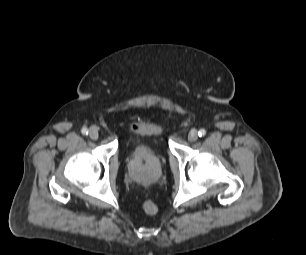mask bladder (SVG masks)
<instances>
[{
    "instance_id": "obj_1",
    "label": "bladder",
    "mask_w": 306,
    "mask_h": 255,
    "mask_svg": "<svg viewBox=\"0 0 306 255\" xmlns=\"http://www.w3.org/2000/svg\"><path fill=\"white\" fill-rule=\"evenodd\" d=\"M125 146L133 161H158L164 149L163 129L155 123L138 124L127 135Z\"/></svg>"
}]
</instances>
